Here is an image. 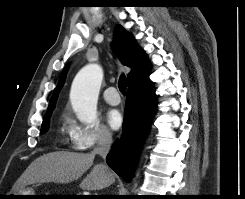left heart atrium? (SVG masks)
Returning <instances> with one entry per match:
<instances>
[{
    "label": "left heart atrium",
    "instance_id": "39dd6f15",
    "mask_svg": "<svg viewBox=\"0 0 245 199\" xmlns=\"http://www.w3.org/2000/svg\"><path fill=\"white\" fill-rule=\"evenodd\" d=\"M107 123L113 130H118L123 123V117L121 113L116 110L112 109L107 113Z\"/></svg>",
    "mask_w": 245,
    "mask_h": 199
}]
</instances>
